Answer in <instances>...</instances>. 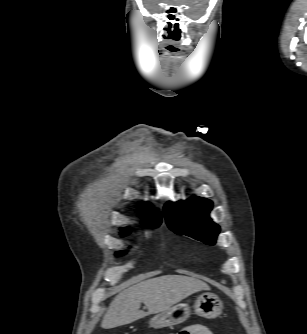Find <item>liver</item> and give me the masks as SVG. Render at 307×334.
<instances>
[{
	"instance_id": "6515ba94",
	"label": "liver",
	"mask_w": 307,
	"mask_h": 334,
	"mask_svg": "<svg viewBox=\"0 0 307 334\" xmlns=\"http://www.w3.org/2000/svg\"><path fill=\"white\" fill-rule=\"evenodd\" d=\"M210 290L203 281L183 275H164L142 281L120 292L111 302L101 326L126 325L150 314L160 313L193 293ZM144 303L148 312L140 310Z\"/></svg>"
}]
</instances>
